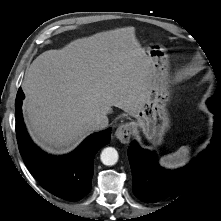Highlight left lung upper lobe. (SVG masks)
I'll return each instance as SVG.
<instances>
[{
	"label": "left lung upper lobe",
	"mask_w": 221,
	"mask_h": 221,
	"mask_svg": "<svg viewBox=\"0 0 221 221\" xmlns=\"http://www.w3.org/2000/svg\"><path fill=\"white\" fill-rule=\"evenodd\" d=\"M210 108L214 109L215 106L217 108H221V94L216 91L215 94L209 99Z\"/></svg>",
	"instance_id": "left-lung-upper-lobe-1"
}]
</instances>
